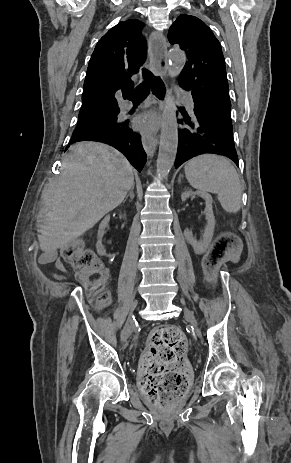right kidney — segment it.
<instances>
[{"label":"right kidney","mask_w":291,"mask_h":463,"mask_svg":"<svg viewBox=\"0 0 291 463\" xmlns=\"http://www.w3.org/2000/svg\"><path fill=\"white\" fill-rule=\"evenodd\" d=\"M125 217V215H124ZM109 221H110V216H106L100 223L99 225V229H98V233H97V238H98V241H97V244H96V248H97V252L98 254L100 255H104L105 254V249H104V246L102 245V237L105 233V228L108 226L109 224Z\"/></svg>","instance_id":"right-kidney-1"}]
</instances>
